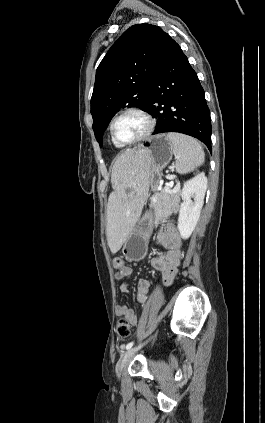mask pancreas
Returning <instances> with one entry per match:
<instances>
[{"mask_svg":"<svg viewBox=\"0 0 265 423\" xmlns=\"http://www.w3.org/2000/svg\"><path fill=\"white\" fill-rule=\"evenodd\" d=\"M180 192L162 190L155 196L156 203H151V208L155 213V222H163L172 213H176L179 206Z\"/></svg>","mask_w":265,"mask_h":423,"instance_id":"pancreas-1","label":"pancreas"}]
</instances>
